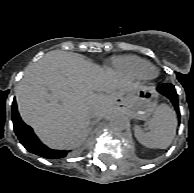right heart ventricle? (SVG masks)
Here are the masks:
<instances>
[{
	"label": "right heart ventricle",
	"instance_id": "1",
	"mask_svg": "<svg viewBox=\"0 0 194 193\" xmlns=\"http://www.w3.org/2000/svg\"><path fill=\"white\" fill-rule=\"evenodd\" d=\"M112 65L118 73L133 80L144 79V71L151 66L148 61L131 55L114 57Z\"/></svg>",
	"mask_w": 194,
	"mask_h": 193
}]
</instances>
